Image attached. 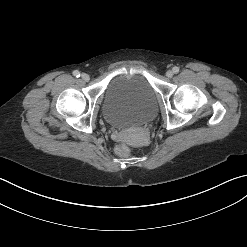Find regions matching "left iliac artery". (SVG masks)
Here are the masks:
<instances>
[{
	"label": "left iliac artery",
	"instance_id": "1",
	"mask_svg": "<svg viewBox=\"0 0 247 247\" xmlns=\"http://www.w3.org/2000/svg\"><path fill=\"white\" fill-rule=\"evenodd\" d=\"M172 70H173V72H174V73H178V72H179V68H178V67H176V66H175V67H173V69H172Z\"/></svg>",
	"mask_w": 247,
	"mask_h": 247
}]
</instances>
